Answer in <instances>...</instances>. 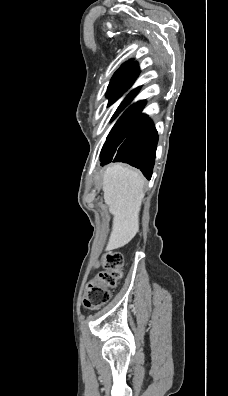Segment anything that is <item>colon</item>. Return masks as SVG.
I'll list each match as a JSON object with an SVG mask.
<instances>
[{
  "label": "colon",
  "mask_w": 228,
  "mask_h": 396,
  "mask_svg": "<svg viewBox=\"0 0 228 396\" xmlns=\"http://www.w3.org/2000/svg\"><path fill=\"white\" fill-rule=\"evenodd\" d=\"M123 256L119 252H107L99 260L101 271L87 285L83 304L86 309L94 310L105 305L122 277Z\"/></svg>",
  "instance_id": "obj_1"
}]
</instances>
